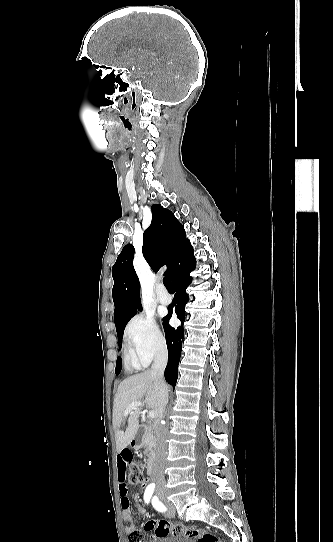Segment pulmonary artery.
<instances>
[{
  "instance_id": "pulmonary-artery-1",
  "label": "pulmonary artery",
  "mask_w": 333,
  "mask_h": 542,
  "mask_svg": "<svg viewBox=\"0 0 333 542\" xmlns=\"http://www.w3.org/2000/svg\"><path fill=\"white\" fill-rule=\"evenodd\" d=\"M158 293L160 298V303L163 305H169L171 303L170 301V291L167 289L166 285H159L158 286Z\"/></svg>"
}]
</instances>
